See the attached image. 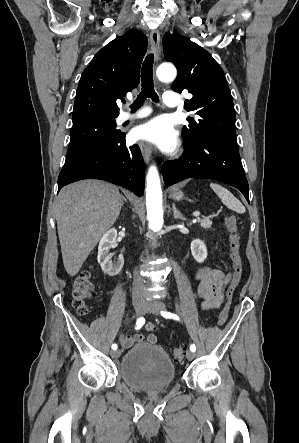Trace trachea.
<instances>
[{
	"label": "trachea",
	"instance_id": "3493384b",
	"mask_svg": "<svg viewBox=\"0 0 299 443\" xmlns=\"http://www.w3.org/2000/svg\"><path fill=\"white\" fill-rule=\"evenodd\" d=\"M153 63H154V55L148 54L143 62L142 70H141V86L142 90L140 94L137 96V99L130 106L132 111L137 110L146 98H151L154 102L159 101V97L154 90L153 83Z\"/></svg>",
	"mask_w": 299,
	"mask_h": 443
}]
</instances>
